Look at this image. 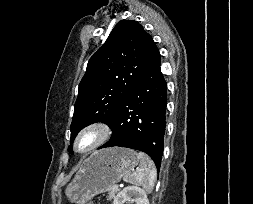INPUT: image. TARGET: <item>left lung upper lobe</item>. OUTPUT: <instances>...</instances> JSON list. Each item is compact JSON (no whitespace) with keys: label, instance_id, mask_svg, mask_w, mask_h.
<instances>
[{"label":"left lung upper lobe","instance_id":"5c2ea615","mask_svg":"<svg viewBox=\"0 0 253 204\" xmlns=\"http://www.w3.org/2000/svg\"><path fill=\"white\" fill-rule=\"evenodd\" d=\"M155 42L134 20H121L103 46L90 58L79 84L71 123V143L94 122L111 125L121 105L144 73ZM73 154L72 147H68Z\"/></svg>","mask_w":253,"mask_h":204}]
</instances>
